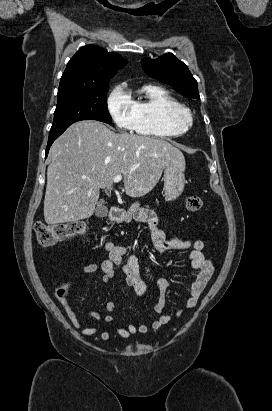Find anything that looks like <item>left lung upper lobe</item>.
Returning a JSON list of instances; mask_svg holds the SVG:
<instances>
[{"mask_svg":"<svg viewBox=\"0 0 272 411\" xmlns=\"http://www.w3.org/2000/svg\"><path fill=\"white\" fill-rule=\"evenodd\" d=\"M141 65L150 77L169 84L184 97L199 99L197 81L188 67L172 53L157 59L145 58L141 61Z\"/></svg>","mask_w":272,"mask_h":411,"instance_id":"obj_1","label":"left lung upper lobe"}]
</instances>
